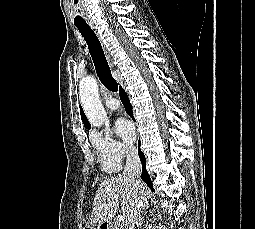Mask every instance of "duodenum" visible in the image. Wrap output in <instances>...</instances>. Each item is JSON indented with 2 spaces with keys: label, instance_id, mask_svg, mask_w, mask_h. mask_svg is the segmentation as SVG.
<instances>
[{
  "label": "duodenum",
  "instance_id": "obj_1",
  "mask_svg": "<svg viewBox=\"0 0 255 229\" xmlns=\"http://www.w3.org/2000/svg\"><path fill=\"white\" fill-rule=\"evenodd\" d=\"M97 229H116V228L111 223L104 222V223L99 224Z\"/></svg>",
  "mask_w": 255,
  "mask_h": 229
}]
</instances>
